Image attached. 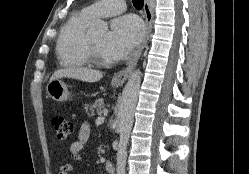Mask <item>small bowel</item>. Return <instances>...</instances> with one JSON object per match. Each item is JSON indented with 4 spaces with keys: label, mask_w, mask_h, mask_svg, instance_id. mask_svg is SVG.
Wrapping results in <instances>:
<instances>
[{
    "label": "small bowel",
    "mask_w": 249,
    "mask_h": 174,
    "mask_svg": "<svg viewBox=\"0 0 249 174\" xmlns=\"http://www.w3.org/2000/svg\"><path fill=\"white\" fill-rule=\"evenodd\" d=\"M89 134L90 127L87 123H84L80 129L78 140L72 142L68 147V155L71 160L80 161V153L88 141ZM71 171V164L66 163L60 166L59 174H70Z\"/></svg>",
    "instance_id": "c3829d8e"
}]
</instances>
